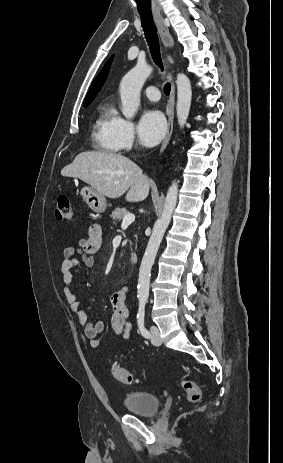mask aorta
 Instances as JSON below:
<instances>
[{"instance_id":"1","label":"aorta","mask_w":283,"mask_h":463,"mask_svg":"<svg viewBox=\"0 0 283 463\" xmlns=\"http://www.w3.org/2000/svg\"><path fill=\"white\" fill-rule=\"evenodd\" d=\"M153 68L145 62H138L121 80L120 95L122 102V114L126 119H132L140 106V92L146 79ZM177 85V118L180 128L187 122L191 107L192 89L189 78L179 73L176 79ZM178 182L173 181L168 189L165 205L161 217L153 226L152 235L147 244L143 256L138 280V298L146 300L149 296L151 269L155 261L164 233L171 221L173 211L177 204Z\"/></svg>"}]
</instances>
